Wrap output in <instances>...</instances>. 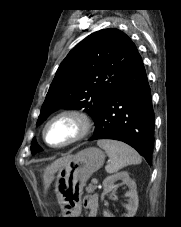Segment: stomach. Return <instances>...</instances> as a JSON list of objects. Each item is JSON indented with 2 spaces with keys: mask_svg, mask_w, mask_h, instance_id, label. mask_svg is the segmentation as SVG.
Here are the masks:
<instances>
[{
  "mask_svg": "<svg viewBox=\"0 0 181 227\" xmlns=\"http://www.w3.org/2000/svg\"><path fill=\"white\" fill-rule=\"evenodd\" d=\"M105 154L96 147L86 148L58 170L55 194L64 217L77 215L83 188L90 176L104 164Z\"/></svg>",
  "mask_w": 181,
  "mask_h": 227,
  "instance_id": "1",
  "label": "stomach"
}]
</instances>
